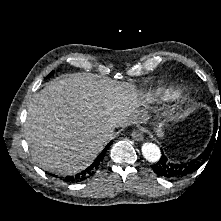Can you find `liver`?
Wrapping results in <instances>:
<instances>
[{"instance_id":"liver-1","label":"liver","mask_w":221,"mask_h":221,"mask_svg":"<svg viewBox=\"0 0 221 221\" xmlns=\"http://www.w3.org/2000/svg\"><path fill=\"white\" fill-rule=\"evenodd\" d=\"M134 85L77 74L51 81L28 107L25 139L34 161L47 171L72 175L104 148L109 128L144 122Z\"/></svg>"}]
</instances>
